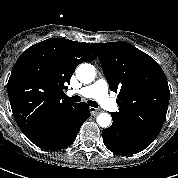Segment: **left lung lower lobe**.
<instances>
[{
  "mask_svg": "<svg viewBox=\"0 0 178 178\" xmlns=\"http://www.w3.org/2000/svg\"><path fill=\"white\" fill-rule=\"evenodd\" d=\"M102 136L105 146L110 151L121 155L139 153L156 139L115 118L112 125L102 131Z\"/></svg>",
  "mask_w": 178,
  "mask_h": 178,
  "instance_id": "left-lung-lower-lobe-1",
  "label": "left lung lower lobe"
}]
</instances>
